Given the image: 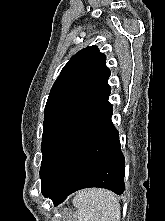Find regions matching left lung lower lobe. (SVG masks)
Returning a JSON list of instances; mask_svg holds the SVG:
<instances>
[{
	"instance_id": "1",
	"label": "left lung lower lobe",
	"mask_w": 165,
	"mask_h": 221,
	"mask_svg": "<svg viewBox=\"0 0 165 221\" xmlns=\"http://www.w3.org/2000/svg\"><path fill=\"white\" fill-rule=\"evenodd\" d=\"M110 91L63 135L40 172L42 193L55 206L83 188H106L118 195L125 190V159L111 121Z\"/></svg>"
}]
</instances>
